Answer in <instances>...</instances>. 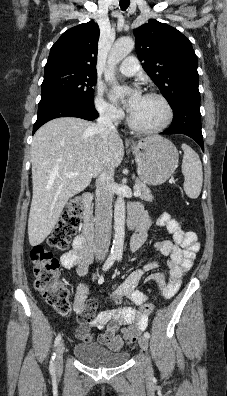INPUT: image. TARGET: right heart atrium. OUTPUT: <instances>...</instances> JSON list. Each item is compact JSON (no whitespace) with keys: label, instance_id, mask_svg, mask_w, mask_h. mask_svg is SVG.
Instances as JSON below:
<instances>
[{"label":"right heart atrium","instance_id":"obj_1","mask_svg":"<svg viewBox=\"0 0 227 396\" xmlns=\"http://www.w3.org/2000/svg\"><path fill=\"white\" fill-rule=\"evenodd\" d=\"M95 107L100 116L111 122L116 123L123 118V111L104 97V91L101 88L96 91Z\"/></svg>","mask_w":227,"mask_h":396}]
</instances>
